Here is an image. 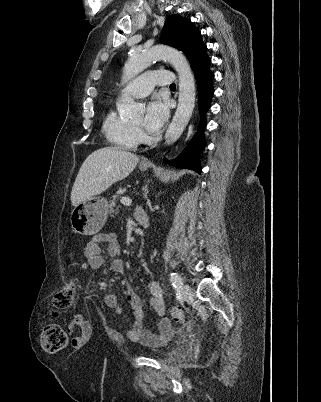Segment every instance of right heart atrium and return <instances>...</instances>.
<instances>
[{"instance_id":"1","label":"right heart atrium","mask_w":321,"mask_h":402,"mask_svg":"<svg viewBox=\"0 0 321 402\" xmlns=\"http://www.w3.org/2000/svg\"><path fill=\"white\" fill-rule=\"evenodd\" d=\"M136 133H137V136H138L139 140L142 141L143 140V134H142L141 130L136 129Z\"/></svg>"}]
</instances>
